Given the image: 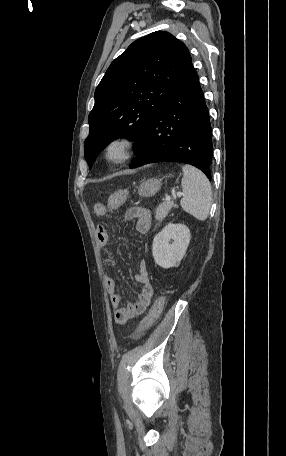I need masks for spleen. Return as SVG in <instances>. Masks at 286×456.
Listing matches in <instances>:
<instances>
[{
  "label": "spleen",
  "instance_id": "obj_1",
  "mask_svg": "<svg viewBox=\"0 0 286 456\" xmlns=\"http://www.w3.org/2000/svg\"><path fill=\"white\" fill-rule=\"evenodd\" d=\"M181 181L183 198L180 201L184 211L200 221L207 219L211 207L212 192L207 177L200 170L190 165L182 168Z\"/></svg>",
  "mask_w": 286,
  "mask_h": 456
}]
</instances>
